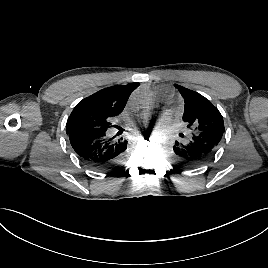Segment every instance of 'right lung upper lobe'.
<instances>
[{
  "mask_svg": "<svg viewBox=\"0 0 268 268\" xmlns=\"http://www.w3.org/2000/svg\"><path fill=\"white\" fill-rule=\"evenodd\" d=\"M138 86L139 83H129L104 88L80 101L75 108H94L119 114L123 111L130 94Z\"/></svg>",
  "mask_w": 268,
  "mask_h": 268,
  "instance_id": "obj_1",
  "label": "right lung upper lobe"
}]
</instances>
